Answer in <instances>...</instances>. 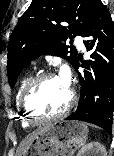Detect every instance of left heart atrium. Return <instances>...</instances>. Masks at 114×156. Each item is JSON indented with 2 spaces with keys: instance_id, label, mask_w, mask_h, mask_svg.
Segmentation results:
<instances>
[{
  "instance_id": "left-heart-atrium-1",
  "label": "left heart atrium",
  "mask_w": 114,
  "mask_h": 156,
  "mask_svg": "<svg viewBox=\"0 0 114 156\" xmlns=\"http://www.w3.org/2000/svg\"><path fill=\"white\" fill-rule=\"evenodd\" d=\"M59 79L62 81V83L67 88H69V86H70V71L66 66L62 67V69L60 71Z\"/></svg>"
}]
</instances>
